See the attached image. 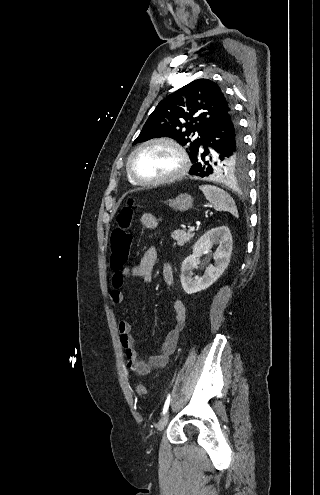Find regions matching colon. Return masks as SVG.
Returning a JSON list of instances; mask_svg holds the SVG:
<instances>
[{"label":"colon","instance_id":"1","mask_svg":"<svg viewBox=\"0 0 320 495\" xmlns=\"http://www.w3.org/2000/svg\"><path fill=\"white\" fill-rule=\"evenodd\" d=\"M132 199L128 200V203L119 213L118 225L112 230L110 236V259L111 266L114 270L123 268L130 257L131 248L133 245V236L129 230V225L133 215ZM137 396L143 398L147 394V389L144 385H138L136 387Z\"/></svg>","mask_w":320,"mask_h":495}]
</instances>
